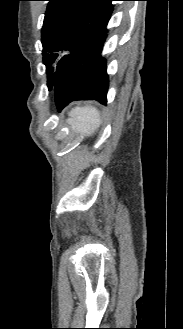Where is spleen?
Masks as SVG:
<instances>
[{
  "label": "spleen",
  "mask_w": 183,
  "mask_h": 329,
  "mask_svg": "<svg viewBox=\"0 0 183 329\" xmlns=\"http://www.w3.org/2000/svg\"><path fill=\"white\" fill-rule=\"evenodd\" d=\"M68 123L71 130L76 134H93L102 124L99 111L86 104L85 106H77L69 112Z\"/></svg>",
  "instance_id": "obj_1"
}]
</instances>
